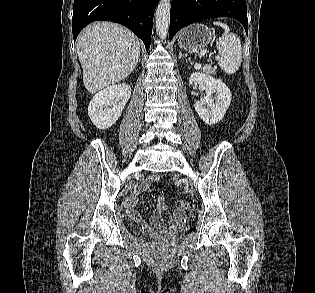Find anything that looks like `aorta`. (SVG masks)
I'll list each match as a JSON object with an SVG mask.
<instances>
[{"mask_svg":"<svg viewBox=\"0 0 315 293\" xmlns=\"http://www.w3.org/2000/svg\"><path fill=\"white\" fill-rule=\"evenodd\" d=\"M170 8V0H160L156 9V32L162 39H165L168 34Z\"/></svg>","mask_w":315,"mask_h":293,"instance_id":"1","label":"aorta"}]
</instances>
